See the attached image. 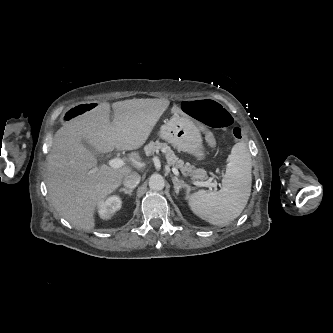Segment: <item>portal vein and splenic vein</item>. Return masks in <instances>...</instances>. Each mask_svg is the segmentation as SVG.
I'll return each instance as SVG.
<instances>
[{
    "mask_svg": "<svg viewBox=\"0 0 333 333\" xmlns=\"http://www.w3.org/2000/svg\"><path fill=\"white\" fill-rule=\"evenodd\" d=\"M109 165L112 168H120V167L125 165V162H124L123 159L114 158V159L109 161ZM172 172L176 176H179V171L175 167L172 168ZM193 184L198 186V187H207V186L215 187L217 185L216 182H209V181H206V182L194 181Z\"/></svg>",
    "mask_w": 333,
    "mask_h": 333,
    "instance_id": "1",
    "label": "portal vein and splenic vein"
}]
</instances>
